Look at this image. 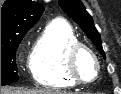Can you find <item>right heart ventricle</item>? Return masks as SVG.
Instances as JSON below:
<instances>
[{"mask_svg": "<svg viewBox=\"0 0 121 94\" xmlns=\"http://www.w3.org/2000/svg\"><path fill=\"white\" fill-rule=\"evenodd\" d=\"M79 42L72 26L64 20L49 22L37 37L29 59L33 80L48 89H69L75 82L66 70L69 48Z\"/></svg>", "mask_w": 121, "mask_h": 94, "instance_id": "1", "label": "right heart ventricle"}]
</instances>
